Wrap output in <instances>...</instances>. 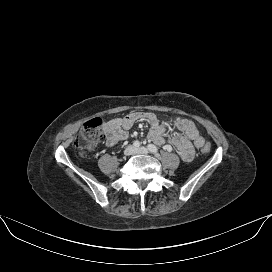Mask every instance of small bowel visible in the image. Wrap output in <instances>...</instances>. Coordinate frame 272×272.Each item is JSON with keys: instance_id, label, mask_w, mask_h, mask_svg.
Listing matches in <instances>:
<instances>
[{"instance_id": "obj_1", "label": "small bowel", "mask_w": 272, "mask_h": 272, "mask_svg": "<svg viewBox=\"0 0 272 272\" xmlns=\"http://www.w3.org/2000/svg\"><path fill=\"white\" fill-rule=\"evenodd\" d=\"M138 121H147L150 124L148 137L159 145L164 143L167 127L171 124L177 133L170 139L167 148H175L180 157L187 162L193 159L195 148H200L205 143L195 124L189 119L177 117L170 123H165L159 122L152 113L132 112L124 117L114 118L104 123L103 129L107 145L114 146L127 139L128 130Z\"/></svg>"}]
</instances>
